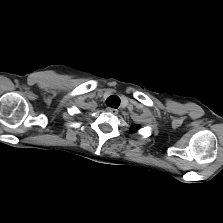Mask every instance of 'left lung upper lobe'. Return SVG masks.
Instances as JSON below:
<instances>
[{
    "instance_id": "5c2ea615",
    "label": "left lung upper lobe",
    "mask_w": 223,
    "mask_h": 223,
    "mask_svg": "<svg viewBox=\"0 0 223 223\" xmlns=\"http://www.w3.org/2000/svg\"><path fill=\"white\" fill-rule=\"evenodd\" d=\"M139 129V126L138 125H135V126H133L132 128H131V131L132 132H135V131H137Z\"/></svg>"
}]
</instances>
